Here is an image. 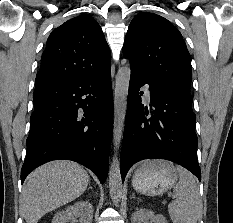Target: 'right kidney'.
<instances>
[{
  "instance_id": "ca27d5eb",
  "label": "right kidney",
  "mask_w": 233,
  "mask_h": 223,
  "mask_svg": "<svg viewBox=\"0 0 233 223\" xmlns=\"http://www.w3.org/2000/svg\"><path fill=\"white\" fill-rule=\"evenodd\" d=\"M93 205L89 201H76L74 205H68L63 211L55 213L52 223H67L74 215L79 217L80 223H92Z\"/></svg>"
}]
</instances>
